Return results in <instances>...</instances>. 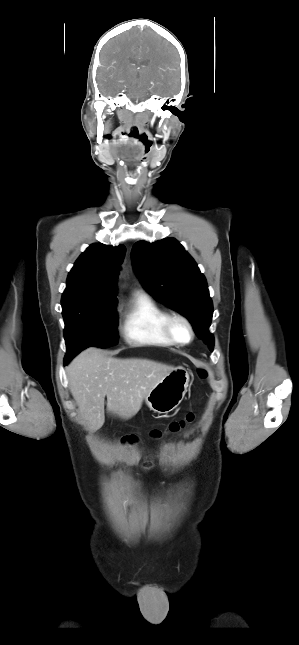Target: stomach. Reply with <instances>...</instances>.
Here are the masks:
<instances>
[{"label": "stomach", "instance_id": "stomach-1", "mask_svg": "<svg viewBox=\"0 0 299 645\" xmlns=\"http://www.w3.org/2000/svg\"><path fill=\"white\" fill-rule=\"evenodd\" d=\"M190 376L186 369L175 368L161 379L145 397L147 406L158 414H168L183 400Z\"/></svg>", "mask_w": 299, "mask_h": 645}]
</instances>
